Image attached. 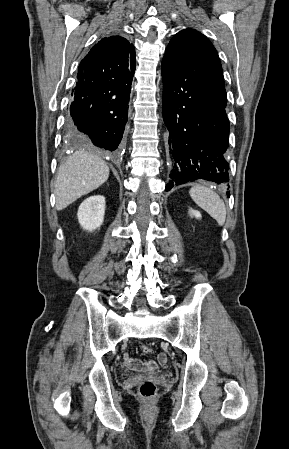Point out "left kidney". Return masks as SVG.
Wrapping results in <instances>:
<instances>
[{"label":"left kidney","instance_id":"obj_1","mask_svg":"<svg viewBox=\"0 0 289 449\" xmlns=\"http://www.w3.org/2000/svg\"><path fill=\"white\" fill-rule=\"evenodd\" d=\"M189 214H190L191 217H195L197 219H201V214L197 210H193L192 208H190Z\"/></svg>","mask_w":289,"mask_h":449}]
</instances>
